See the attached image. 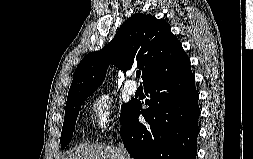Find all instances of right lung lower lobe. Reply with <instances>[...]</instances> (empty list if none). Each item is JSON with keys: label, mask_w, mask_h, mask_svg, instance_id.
I'll return each mask as SVG.
<instances>
[{"label": "right lung lower lobe", "mask_w": 253, "mask_h": 159, "mask_svg": "<svg viewBox=\"0 0 253 159\" xmlns=\"http://www.w3.org/2000/svg\"><path fill=\"white\" fill-rule=\"evenodd\" d=\"M144 87L149 108L140 111L141 104L132 102L121 122L127 151L134 159H196L200 109L190 64Z\"/></svg>", "instance_id": "obj_1"}]
</instances>
